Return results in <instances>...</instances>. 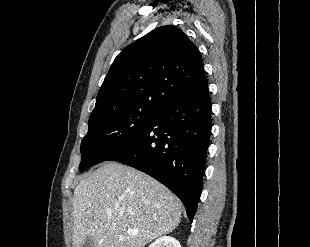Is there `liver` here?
I'll use <instances>...</instances> for the list:
<instances>
[{"label": "liver", "instance_id": "obj_1", "mask_svg": "<svg viewBox=\"0 0 310 247\" xmlns=\"http://www.w3.org/2000/svg\"><path fill=\"white\" fill-rule=\"evenodd\" d=\"M182 208L170 190L147 174L105 162L74 189L72 245L81 247L90 236L93 247H144L179 225Z\"/></svg>", "mask_w": 310, "mask_h": 247}]
</instances>
